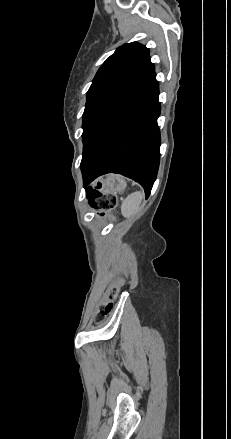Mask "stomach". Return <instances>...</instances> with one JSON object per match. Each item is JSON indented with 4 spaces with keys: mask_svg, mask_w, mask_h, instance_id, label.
I'll return each instance as SVG.
<instances>
[{
    "mask_svg": "<svg viewBox=\"0 0 231 439\" xmlns=\"http://www.w3.org/2000/svg\"><path fill=\"white\" fill-rule=\"evenodd\" d=\"M124 178L118 175H108L101 180L102 189L109 193H120L126 187Z\"/></svg>",
    "mask_w": 231,
    "mask_h": 439,
    "instance_id": "obj_1",
    "label": "stomach"
}]
</instances>
